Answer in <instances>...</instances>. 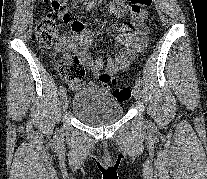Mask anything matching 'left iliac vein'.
Here are the masks:
<instances>
[{"mask_svg": "<svg viewBox=\"0 0 207 179\" xmlns=\"http://www.w3.org/2000/svg\"><path fill=\"white\" fill-rule=\"evenodd\" d=\"M133 93H134V98L136 100H139L141 97V90H140V86L139 85H135L133 88Z\"/></svg>", "mask_w": 207, "mask_h": 179, "instance_id": "obj_1", "label": "left iliac vein"}]
</instances>
